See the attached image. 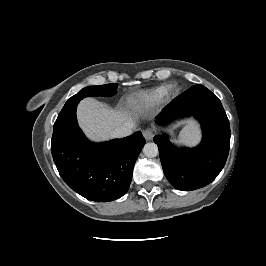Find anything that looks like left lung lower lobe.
<instances>
[{
    "mask_svg": "<svg viewBox=\"0 0 266 266\" xmlns=\"http://www.w3.org/2000/svg\"><path fill=\"white\" fill-rule=\"evenodd\" d=\"M193 115L203 130L195 148L178 149L167 138L157 135L163 171L168 181L182 191L195 190L211 183L223 169L230 147V125L220 100L203 85H196L176 97L160 113L156 123Z\"/></svg>",
    "mask_w": 266,
    "mask_h": 266,
    "instance_id": "obj_1",
    "label": "left lung lower lobe"
}]
</instances>
